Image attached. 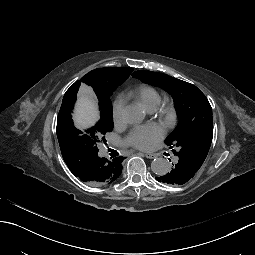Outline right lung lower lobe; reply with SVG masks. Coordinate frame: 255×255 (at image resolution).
Segmentation results:
<instances>
[{"label":"right lung lower lobe","instance_id":"98d812e1","mask_svg":"<svg viewBox=\"0 0 255 255\" xmlns=\"http://www.w3.org/2000/svg\"><path fill=\"white\" fill-rule=\"evenodd\" d=\"M81 176L83 178H86L88 176V173L86 171H83L81 173ZM89 180L92 182H97L100 180V167L97 164H92L89 167Z\"/></svg>","mask_w":255,"mask_h":255}]
</instances>
